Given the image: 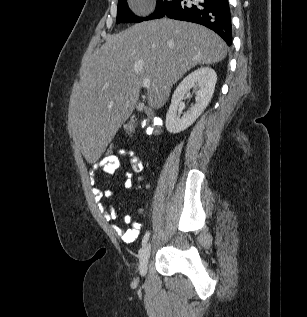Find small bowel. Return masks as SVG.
Instances as JSON below:
<instances>
[{
  "mask_svg": "<svg viewBox=\"0 0 307 317\" xmlns=\"http://www.w3.org/2000/svg\"><path fill=\"white\" fill-rule=\"evenodd\" d=\"M120 157H125L129 160L134 173H140L143 170V161L141 157L133 150L129 148H122L115 158L100 159L94 164V170L101 171L104 174H113L120 167ZM123 188L130 189L132 187V173H125V180L122 183ZM113 195L112 190L105 192V196L110 198ZM96 200H101V195L96 194ZM103 217L107 220H114L117 217L116 212L113 209L102 207ZM125 223H130L132 226L129 229H122L119 226H112L114 232L120 236L125 243H132L139 235L141 224L134 222L130 214H126L123 218Z\"/></svg>",
  "mask_w": 307,
  "mask_h": 317,
  "instance_id": "1",
  "label": "small bowel"
}]
</instances>
